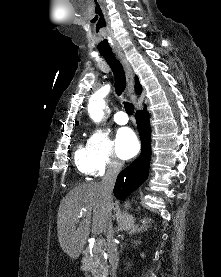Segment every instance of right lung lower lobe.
Masks as SVG:
<instances>
[{"label": "right lung lower lobe", "mask_w": 221, "mask_h": 277, "mask_svg": "<svg viewBox=\"0 0 221 277\" xmlns=\"http://www.w3.org/2000/svg\"><path fill=\"white\" fill-rule=\"evenodd\" d=\"M136 121L141 137L142 150L140 156L118 175L114 195L120 200L137 189L148 177L151 157V128L149 114L146 109L136 112Z\"/></svg>", "instance_id": "98d812e1"}]
</instances>
